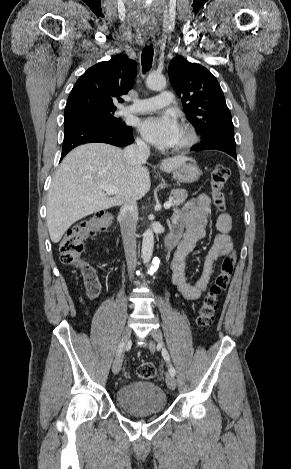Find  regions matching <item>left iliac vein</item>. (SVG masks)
<instances>
[{
  "mask_svg": "<svg viewBox=\"0 0 291 469\" xmlns=\"http://www.w3.org/2000/svg\"><path fill=\"white\" fill-rule=\"evenodd\" d=\"M151 337L159 344H162L163 337L162 333L159 329H154L150 333ZM151 350H154V346L151 347ZM166 384L169 389L174 390L176 388V379L173 375L167 374L166 375Z\"/></svg>",
  "mask_w": 291,
  "mask_h": 469,
  "instance_id": "4c4485c4",
  "label": "left iliac vein"
}]
</instances>
